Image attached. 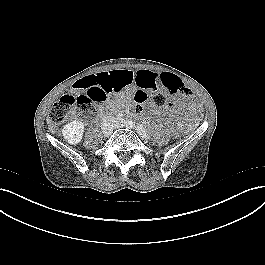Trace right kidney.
<instances>
[{"instance_id": "1", "label": "right kidney", "mask_w": 265, "mask_h": 265, "mask_svg": "<svg viewBox=\"0 0 265 265\" xmlns=\"http://www.w3.org/2000/svg\"><path fill=\"white\" fill-rule=\"evenodd\" d=\"M84 132V124L72 121L64 126L62 134L69 144L76 145L81 142Z\"/></svg>"}]
</instances>
